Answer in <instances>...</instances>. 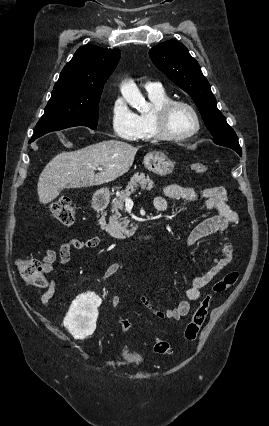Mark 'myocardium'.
<instances>
[{"instance_id": "obj_1", "label": "myocardium", "mask_w": 269, "mask_h": 426, "mask_svg": "<svg viewBox=\"0 0 269 426\" xmlns=\"http://www.w3.org/2000/svg\"><path fill=\"white\" fill-rule=\"evenodd\" d=\"M182 106L187 108L193 115L195 120L194 128L184 134H174L169 130L168 121L172 110L175 107ZM151 125L155 133V138L164 141H183L196 135L201 128V119L198 111L190 103L179 100L170 99L158 108L151 115Z\"/></svg>"}]
</instances>
